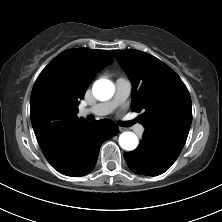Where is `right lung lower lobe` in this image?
<instances>
[{
  "instance_id": "right-lung-lower-lobe-1",
  "label": "right lung lower lobe",
  "mask_w": 222,
  "mask_h": 222,
  "mask_svg": "<svg viewBox=\"0 0 222 222\" xmlns=\"http://www.w3.org/2000/svg\"><path fill=\"white\" fill-rule=\"evenodd\" d=\"M118 131V126L108 119L87 121L67 134L53 151L44 155L62 174L83 176L95 167L102 143L117 135Z\"/></svg>"
}]
</instances>
